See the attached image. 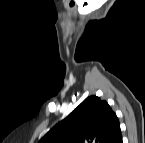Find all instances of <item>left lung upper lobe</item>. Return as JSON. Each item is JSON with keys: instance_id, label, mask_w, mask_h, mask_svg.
<instances>
[{"instance_id": "5c2ea615", "label": "left lung upper lobe", "mask_w": 145, "mask_h": 143, "mask_svg": "<svg viewBox=\"0 0 145 143\" xmlns=\"http://www.w3.org/2000/svg\"><path fill=\"white\" fill-rule=\"evenodd\" d=\"M120 136L119 120L108 103L90 96L42 137L40 143H115Z\"/></svg>"}]
</instances>
